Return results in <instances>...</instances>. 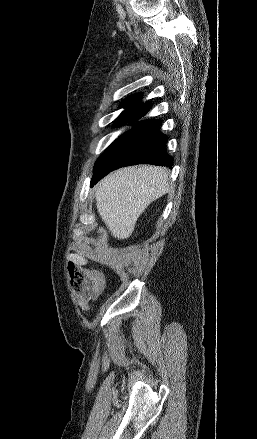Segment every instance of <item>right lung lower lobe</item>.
I'll return each instance as SVG.
<instances>
[{
	"label": "right lung lower lobe",
	"mask_w": 257,
	"mask_h": 439,
	"mask_svg": "<svg viewBox=\"0 0 257 439\" xmlns=\"http://www.w3.org/2000/svg\"><path fill=\"white\" fill-rule=\"evenodd\" d=\"M139 118L130 121L135 127L116 139L97 159L91 187L109 172L124 166L153 164L172 167L173 158L165 150L168 138L159 132L161 121L137 122Z\"/></svg>",
	"instance_id": "1"
}]
</instances>
